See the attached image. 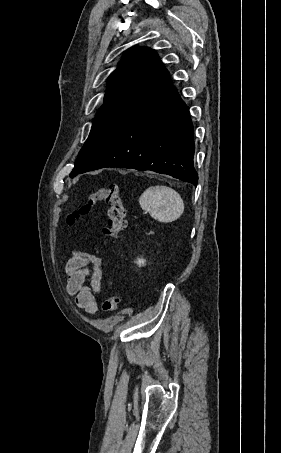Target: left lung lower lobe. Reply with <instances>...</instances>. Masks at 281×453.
Returning <instances> with one entry per match:
<instances>
[{
    "label": "left lung lower lobe",
    "mask_w": 281,
    "mask_h": 453,
    "mask_svg": "<svg viewBox=\"0 0 281 453\" xmlns=\"http://www.w3.org/2000/svg\"><path fill=\"white\" fill-rule=\"evenodd\" d=\"M194 149L188 108L163 68L101 151L70 177L104 167H122L168 174L197 185Z\"/></svg>",
    "instance_id": "obj_1"
}]
</instances>
